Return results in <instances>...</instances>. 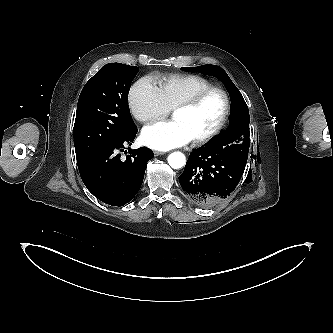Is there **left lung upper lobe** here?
<instances>
[{"mask_svg": "<svg viewBox=\"0 0 333 333\" xmlns=\"http://www.w3.org/2000/svg\"><path fill=\"white\" fill-rule=\"evenodd\" d=\"M181 69L186 72H200L213 75L224 83L231 98L230 127L228 131H223L220 136L207 146L246 164L250 147V139L248 137L249 112L237 87L227 73L216 65L182 67Z\"/></svg>", "mask_w": 333, "mask_h": 333, "instance_id": "1", "label": "left lung upper lobe"}]
</instances>
